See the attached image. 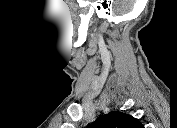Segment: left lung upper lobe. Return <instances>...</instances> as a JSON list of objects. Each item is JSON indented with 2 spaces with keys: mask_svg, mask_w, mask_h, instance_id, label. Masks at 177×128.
Returning <instances> with one entry per match:
<instances>
[{
  "mask_svg": "<svg viewBox=\"0 0 177 128\" xmlns=\"http://www.w3.org/2000/svg\"><path fill=\"white\" fill-rule=\"evenodd\" d=\"M91 126L92 128H143L136 118L118 111L100 116Z\"/></svg>",
  "mask_w": 177,
  "mask_h": 128,
  "instance_id": "left-lung-upper-lobe-1",
  "label": "left lung upper lobe"
}]
</instances>
